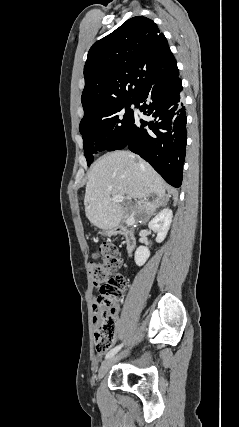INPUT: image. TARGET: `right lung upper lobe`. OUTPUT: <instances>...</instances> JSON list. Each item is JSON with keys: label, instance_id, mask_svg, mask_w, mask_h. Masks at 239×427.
<instances>
[{"label": "right lung upper lobe", "instance_id": "right-lung-upper-lobe-1", "mask_svg": "<svg viewBox=\"0 0 239 427\" xmlns=\"http://www.w3.org/2000/svg\"><path fill=\"white\" fill-rule=\"evenodd\" d=\"M178 72L157 25L146 17H133L90 48L81 98L84 114L106 101L136 99L144 89Z\"/></svg>", "mask_w": 239, "mask_h": 427}]
</instances>
